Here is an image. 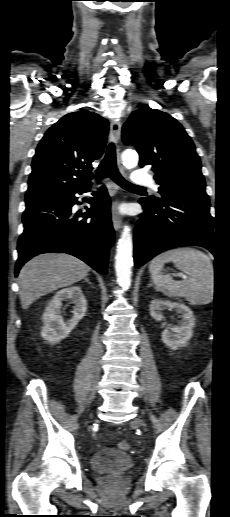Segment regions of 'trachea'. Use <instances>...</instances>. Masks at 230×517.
Returning a JSON list of instances; mask_svg holds the SVG:
<instances>
[{"label": "trachea", "mask_w": 230, "mask_h": 517, "mask_svg": "<svg viewBox=\"0 0 230 517\" xmlns=\"http://www.w3.org/2000/svg\"><path fill=\"white\" fill-rule=\"evenodd\" d=\"M96 174L98 176V179L110 177L119 186L125 189L144 188L142 186H137L128 182L121 176L117 169L115 146L113 143L109 144L106 151V155L101 164L99 165L98 169L96 170Z\"/></svg>", "instance_id": "1"}]
</instances>
